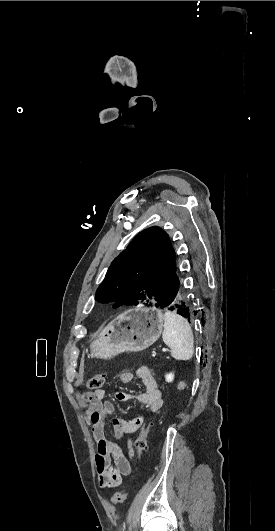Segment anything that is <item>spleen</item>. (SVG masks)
Listing matches in <instances>:
<instances>
[{"label": "spleen", "instance_id": "obj_1", "mask_svg": "<svg viewBox=\"0 0 275 531\" xmlns=\"http://www.w3.org/2000/svg\"><path fill=\"white\" fill-rule=\"evenodd\" d=\"M162 339L171 349L173 359L189 361L193 355L194 337L192 329L184 317L176 311H166Z\"/></svg>", "mask_w": 275, "mask_h": 531}]
</instances>
